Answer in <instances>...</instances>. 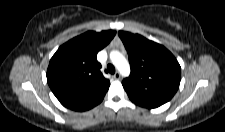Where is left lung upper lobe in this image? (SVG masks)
Masks as SVG:
<instances>
[{
  "mask_svg": "<svg viewBox=\"0 0 225 132\" xmlns=\"http://www.w3.org/2000/svg\"><path fill=\"white\" fill-rule=\"evenodd\" d=\"M129 56L131 74L122 81L129 98L168 102L179 88L181 67L164 46L138 34L118 32Z\"/></svg>",
  "mask_w": 225,
  "mask_h": 132,
  "instance_id": "left-lung-upper-lobe-1",
  "label": "left lung upper lobe"
}]
</instances>
